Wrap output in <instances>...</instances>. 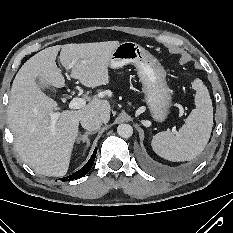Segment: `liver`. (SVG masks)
<instances>
[{
    "instance_id": "6515ba94",
    "label": "liver",
    "mask_w": 233,
    "mask_h": 233,
    "mask_svg": "<svg viewBox=\"0 0 233 233\" xmlns=\"http://www.w3.org/2000/svg\"><path fill=\"white\" fill-rule=\"evenodd\" d=\"M118 45V41H107L48 47L27 60L16 74L7 108L8 125L16 151L36 173L64 176L81 118L93 113L108 123L111 111L108 100L93 98L79 110L61 112L53 126L51 115L58 110L57 103L41 91L36 78L56 88L65 86L55 61L60 51L59 60L66 70L71 69L72 78L88 88L107 85L109 60Z\"/></svg>"
}]
</instances>
